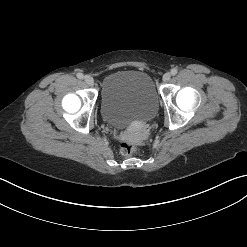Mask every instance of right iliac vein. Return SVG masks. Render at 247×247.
Returning a JSON list of instances; mask_svg holds the SVG:
<instances>
[{"instance_id":"obj_1","label":"right iliac vein","mask_w":247,"mask_h":247,"mask_svg":"<svg viewBox=\"0 0 247 247\" xmlns=\"http://www.w3.org/2000/svg\"><path fill=\"white\" fill-rule=\"evenodd\" d=\"M84 80H85V82H86L89 86H93L94 81H93V78H92L91 76L86 75V76L84 77Z\"/></svg>"}]
</instances>
